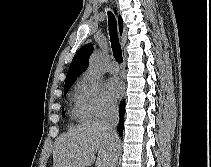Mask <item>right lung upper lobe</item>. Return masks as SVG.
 <instances>
[{"label":"right lung upper lobe","instance_id":"right-lung-upper-lobe-1","mask_svg":"<svg viewBox=\"0 0 211 167\" xmlns=\"http://www.w3.org/2000/svg\"><path fill=\"white\" fill-rule=\"evenodd\" d=\"M118 21L119 31L120 34H122L123 24L121 16H119ZM92 51L93 46L91 44H86L77 51L70 64L65 82L75 80L81 73H83L87 69L89 57Z\"/></svg>","mask_w":211,"mask_h":167}]
</instances>
